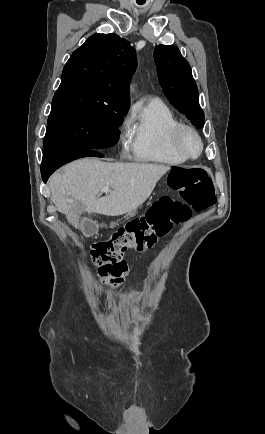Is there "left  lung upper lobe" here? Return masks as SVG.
<instances>
[{
	"label": "left lung upper lobe",
	"mask_w": 265,
	"mask_h": 434,
	"mask_svg": "<svg viewBox=\"0 0 265 434\" xmlns=\"http://www.w3.org/2000/svg\"><path fill=\"white\" fill-rule=\"evenodd\" d=\"M154 59L159 83L171 104L184 113L197 128L204 126V112L199 105L198 89L191 68L175 46L158 45Z\"/></svg>",
	"instance_id": "1"
}]
</instances>
